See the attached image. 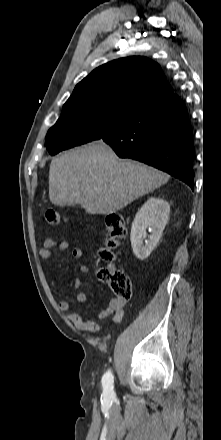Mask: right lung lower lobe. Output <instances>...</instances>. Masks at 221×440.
I'll return each mask as SVG.
<instances>
[{"label":"right lung lower lobe","instance_id":"right-lung-lower-lobe-1","mask_svg":"<svg viewBox=\"0 0 221 440\" xmlns=\"http://www.w3.org/2000/svg\"><path fill=\"white\" fill-rule=\"evenodd\" d=\"M100 139L119 157L158 168L193 189L192 129L186 107L176 94L138 108Z\"/></svg>","mask_w":221,"mask_h":440}]
</instances>
